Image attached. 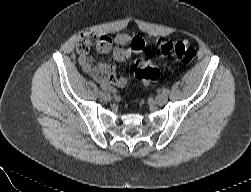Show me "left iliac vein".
<instances>
[{
    "label": "left iliac vein",
    "mask_w": 251,
    "mask_h": 192,
    "mask_svg": "<svg viewBox=\"0 0 251 192\" xmlns=\"http://www.w3.org/2000/svg\"><path fill=\"white\" fill-rule=\"evenodd\" d=\"M167 101H168V96H167V94H165V93L159 94V95L156 97V103H157L158 105H164Z\"/></svg>",
    "instance_id": "4c4485c4"
}]
</instances>
